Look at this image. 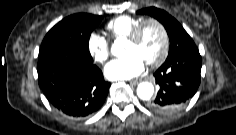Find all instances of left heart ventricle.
<instances>
[{
	"instance_id": "b2bd125f",
	"label": "left heart ventricle",
	"mask_w": 236,
	"mask_h": 135,
	"mask_svg": "<svg viewBox=\"0 0 236 135\" xmlns=\"http://www.w3.org/2000/svg\"><path fill=\"white\" fill-rule=\"evenodd\" d=\"M162 48V34L159 28L148 23L136 44L126 43L125 55L138 54L144 62L154 60L160 53Z\"/></svg>"
}]
</instances>
